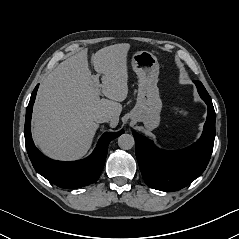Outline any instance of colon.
Here are the masks:
<instances>
[{
    "label": "colon",
    "instance_id": "colon-1",
    "mask_svg": "<svg viewBox=\"0 0 239 239\" xmlns=\"http://www.w3.org/2000/svg\"><path fill=\"white\" fill-rule=\"evenodd\" d=\"M177 112H178L180 115H184V114H185V111L182 110V109H178Z\"/></svg>",
    "mask_w": 239,
    "mask_h": 239
}]
</instances>
